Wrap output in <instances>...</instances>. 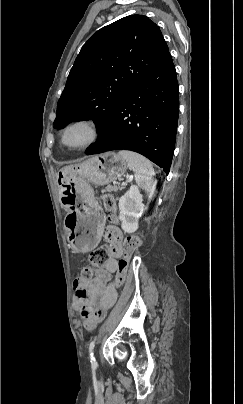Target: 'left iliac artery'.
<instances>
[{"label":"left iliac artery","instance_id":"44dca946","mask_svg":"<svg viewBox=\"0 0 243 404\" xmlns=\"http://www.w3.org/2000/svg\"><path fill=\"white\" fill-rule=\"evenodd\" d=\"M94 346H95V340L91 341V343L89 345V357H90V362L92 364V368L97 367V362H96V359H95L94 354H93Z\"/></svg>","mask_w":243,"mask_h":404}]
</instances>
